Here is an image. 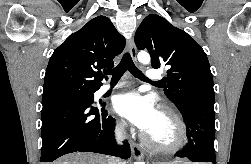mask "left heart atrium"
Here are the masks:
<instances>
[{"instance_id": "obj_1", "label": "left heart atrium", "mask_w": 251, "mask_h": 164, "mask_svg": "<svg viewBox=\"0 0 251 164\" xmlns=\"http://www.w3.org/2000/svg\"><path fill=\"white\" fill-rule=\"evenodd\" d=\"M114 109L146 133L153 129L159 117V111L153 102L136 90L118 95Z\"/></svg>"}]
</instances>
